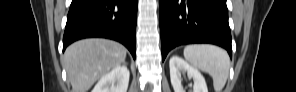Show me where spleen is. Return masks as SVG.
<instances>
[{
    "label": "spleen",
    "mask_w": 296,
    "mask_h": 92,
    "mask_svg": "<svg viewBox=\"0 0 296 92\" xmlns=\"http://www.w3.org/2000/svg\"><path fill=\"white\" fill-rule=\"evenodd\" d=\"M184 57L193 67L208 73L215 91L221 92L230 68V58L225 50L214 45H188L184 48Z\"/></svg>",
    "instance_id": "1"
}]
</instances>
